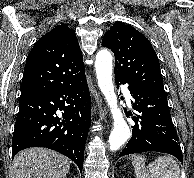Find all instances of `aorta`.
I'll use <instances>...</instances> for the list:
<instances>
[{
  "mask_svg": "<svg viewBox=\"0 0 194 178\" xmlns=\"http://www.w3.org/2000/svg\"><path fill=\"white\" fill-rule=\"evenodd\" d=\"M112 61L113 57L108 50H100L96 55L95 68L98 85L111 109L113 118V130L109 137L110 150L116 151L129 139L131 132L118 107L112 80Z\"/></svg>",
  "mask_w": 194,
  "mask_h": 178,
  "instance_id": "aorta-1",
  "label": "aorta"
}]
</instances>
